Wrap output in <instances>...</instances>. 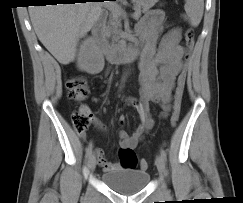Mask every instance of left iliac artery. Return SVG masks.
Segmentation results:
<instances>
[{"label":"left iliac artery","mask_w":243,"mask_h":203,"mask_svg":"<svg viewBox=\"0 0 243 203\" xmlns=\"http://www.w3.org/2000/svg\"><path fill=\"white\" fill-rule=\"evenodd\" d=\"M160 154H161L163 160L166 161L167 154H166V152H165V150L163 148L160 149Z\"/></svg>","instance_id":"1"}]
</instances>
